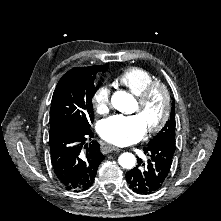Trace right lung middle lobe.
I'll return each mask as SVG.
<instances>
[{"label":"right lung middle lobe","instance_id":"dd1d6c3e","mask_svg":"<svg viewBox=\"0 0 221 221\" xmlns=\"http://www.w3.org/2000/svg\"><path fill=\"white\" fill-rule=\"evenodd\" d=\"M107 69L108 65L76 67L63 75L52 97L50 133L63 127L90 128L94 119V80Z\"/></svg>","mask_w":221,"mask_h":221}]
</instances>
